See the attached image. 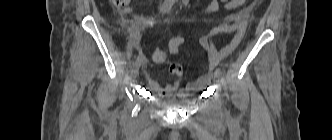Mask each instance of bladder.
I'll return each instance as SVG.
<instances>
[{
    "mask_svg": "<svg viewBox=\"0 0 332 140\" xmlns=\"http://www.w3.org/2000/svg\"><path fill=\"white\" fill-rule=\"evenodd\" d=\"M194 101V96H187L182 99H171L165 101H157L160 105L170 108H183L187 107Z\"/></svg>",
    "mask_w": 332,
    "mask_h": 140,
    "instance_id": "obj_1",
    "label": "bladder"
}]
</instances>
